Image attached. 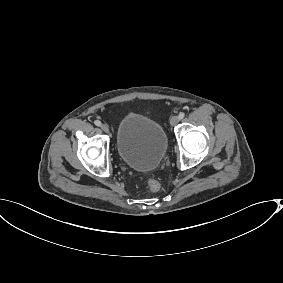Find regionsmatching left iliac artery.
Wrapping results in <instances>:
<instances>
[{"label":"left iliac artery","mask_w":283,"mask_h":283,"mask_svg":"<svg viewBox=\"0 0 283 283\" xmlns=\"http://www.w3.org/2000/svg\"><path fill=\"white\" fill-rule=\"evenodd\" d=\"M184 116H185V113L184 112H180L179 115H178L179 120L183 119Z\"/></svg>","instance_id":"obj_1"}]
</instances>
